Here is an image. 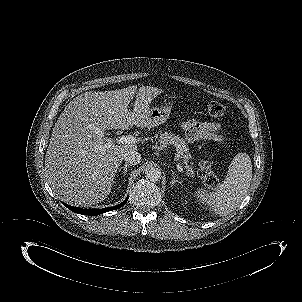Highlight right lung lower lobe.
<instances>
[{"label":"right lung lower lobe","instance_id":"98d812e1","mask_svg":"<svg viewBox=\"0 0 302 302\" xmlns=\"http://www.w3.org/2000/svg\"><path fill=\"white\" fill-rule=\"evenodd\" d=\"M128 201V198H126L122 203L114 206V207H108V208H102V209H82V208H76V207H72L70 205L64 204L68 209H70L71 211L75 212V213H79L82 215H99L111 210H116L119 209L120 207H122L126 202Z\"/></svg>","mask_w":302,"mask_h":302}]
</instances>
